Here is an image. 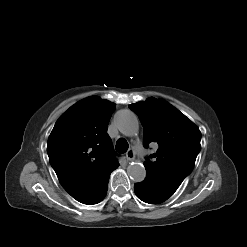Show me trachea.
<instances>
[{
    "mask_svg": "<svg viewBox=\"0 0 247 247\" xmlns=\"http://www.w3.org/2000/svg\"><path fill=\"white\" fill-rule=\"evenodd\" d=\"M128 147H129L128 142L125 139L123 138L118 139L116 143L117 152L125 153L128 150Z\"/></svg>",
    "mask_w": 247,
    "mask_h": 247,
    "instance_id": "trachea-1",
    "label": "trachea"
}]
</instances>
